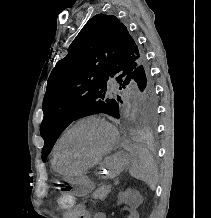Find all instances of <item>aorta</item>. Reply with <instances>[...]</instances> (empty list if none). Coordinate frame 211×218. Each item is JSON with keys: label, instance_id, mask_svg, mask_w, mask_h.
<instances>
[{"label": "aorta", "instance_id": "762f6f07", "mask_svg": "<svg viewBox=\"0 0 211 218\" xmlns=\"http://www.w3.org/2000/svg\"><path fill=\"white\" fill-rule=\"evenodd\" d=\"M129 89H130V95H131V100H132L130 120L134 122L136 118L137 110H138L139 94H138V89H137L136 84L132 81L130 83Z\"/></svg>", "mask_w": 211, "mask_h": 218}]
</instances>
